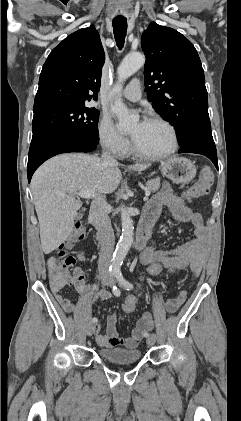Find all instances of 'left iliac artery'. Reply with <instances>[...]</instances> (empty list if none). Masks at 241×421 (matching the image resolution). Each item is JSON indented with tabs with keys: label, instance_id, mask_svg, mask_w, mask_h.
<instances>
[{
	"label": "left iliac artery",
	"instance_id": "1",
	"mask_svg": "<svg viewBox=\"0 0 241 421\" xmlns=\"http://www.w3.org/2000/svg\"><path fill=\"white\" fill-rule=\"evenodd\" d=\"M115 277H116V279L118 280V282L125 288V289H127V290H130V289H132L133 288V285L130 283V282H128L124 277H123V275H122V273H121V271H120V269H116L115 270ZM144 336L145 337H148L149 336V333H145L144 334Z\"/></svg>",
	"mask_w": 241,
	"mask_h": 421
}]
</instances>
